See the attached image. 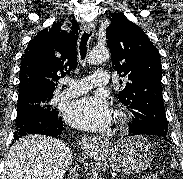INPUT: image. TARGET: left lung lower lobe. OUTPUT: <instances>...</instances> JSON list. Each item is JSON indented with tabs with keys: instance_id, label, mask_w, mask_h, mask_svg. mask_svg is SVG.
<instances>
[{
	"instance_id": "1",
	"label": "left lung lower lobe",
	"mask_w": 183,
	"mask_h": 179,
	"mask_svg": "<svg viewBox=\"0 0 183 179\" xmlns=\"http://www.w3.org/2000/svg\"><path fill=\"white\" fill-rule=\"evenodd\" d=\"M129 132L132 133L130 130H129ZM158 137H160V136H158ZM162 138H164L166 141H169V138L167 136L166 137H162Z\"/></svg>"
}]
</instances>
